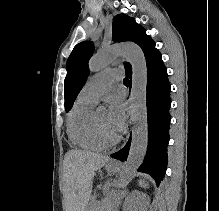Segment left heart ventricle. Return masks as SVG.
Returning a JSON list of instances; mask_svg holds the SVG:
<instances>
[{"mask_svg":"<svg viewBox=\"0 0 219 211\" xmlns=\"http://www.w3.org/2000/svg\"><path fill=\"white\" fill-rule=\"evenodd\" d=\"M96 118L100 125L107 130L108 132L114 133L115 131L111 128L108 118H107V112L104 110H101L96 113Z\"/></svg>","mask_w":219,"mask_h":211,"instance_id":"left-heart-ventricle-1","label":"left heart ventricle"}]
</instances>
